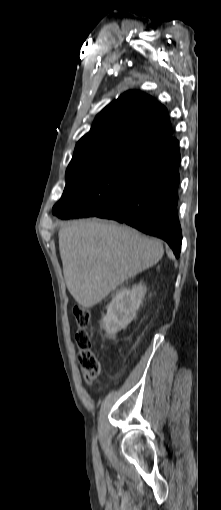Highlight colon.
I'll return each instance as SVG.
<instances>
[{"label": "colon", "mask_w": 221, "mask_h": 510, "mask_svg": "<svg viewBox=\"0 0 221 510\" xmlns=\"http://www.w3.org/2000/svg\"><path fill=\"white\" fill-rule=\"evenodd\" d=\"M73 312L80 328L76 333V343L82 377L86 383H92L101 373V362L95 354L91 334L86 330L91 321V310L87 306L76 305Z\"/></svg>", "instance_id": "5ec220e1"}]
</instances>
